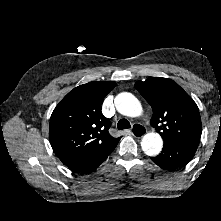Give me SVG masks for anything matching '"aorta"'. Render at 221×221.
I'll return each mask as SVG.
<instances>
[{"mask_svg":"<svg viewBox=\"0 0 221 221\" xmlns=\"http://www.w3.org/2000/svg\"><path fill=\"white\" fill-rule=\"evenodd\" d=\"M115 106L119 113L128 117H137L142 113L139 100L131 93L123 92L116 96ZM141 147L148 156L158 155L163 147V140L158 133L150 132L144 135Z\"/></svg>","mask_w":221,"mask_h":221,"instance_id":"762f6f07","label":"aorta"}]
</instances>
